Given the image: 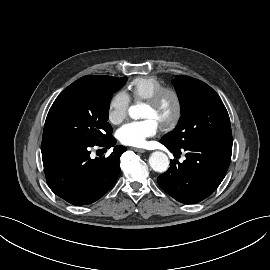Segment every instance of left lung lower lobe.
Instances as JSON below:
<instances>
[{
    "mask_svg": "<svg viewBox=\"0 0 270 270\" xmlns=\"http://www.w3.org/2000/svg\"><path fill=\"white\" fill-rule=\"evenodd\" d=\"M160 142L170 152L186 151L182 163L171 160L170 168L158 177L160 187L177 201L185 204L200 202L224 179L231 161L232 143L197 140L176 148L164 140Z\"/></svg>",
    "mask_w": 270,
    "mask_h": 270,
    "instance_id": "obj_1",
    "label": "left lung lower lobe"
}]
</instances>
